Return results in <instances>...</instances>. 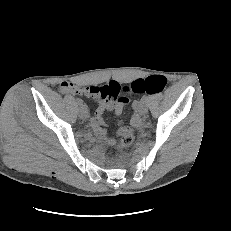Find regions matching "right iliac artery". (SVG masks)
Here are the masks:
<instances>
[{
	"label": "right iliac artery",
	"mask_w": 231,
	"mask_h": 231,
	"mask_svg": "<svg viewBox=\"0 0 231 231\" xmlns=\"http://www.w3.org/2000/svg\"><path fill=\"white\" fill-rule=\"evenodd\" d=\"M77 104H78V105H83L82 99L78 98V99H77Z\"/></svg>",
	"instance_id": "1"
}]
</instances>
